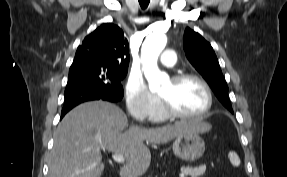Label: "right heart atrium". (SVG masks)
Listing matches in <instances>:
<instances>
[{
	"label": "right heart atrium",
	"mask_w": 287,
	"mask_h": 177,
	"mask_svg": "<svg viewBox=\"0 0 287 177\" xmlns=\"http://www.w3.org/2000/svg\"><path fill=\"white\" fill-rule=\"evenodd\" d=\"M126 107L137 121L153 119L159 109V99L152 93L146 82L138 75H131L124 89Z\"/></svg>",
	"instance_id": "obj_1"
}]
</instances>
